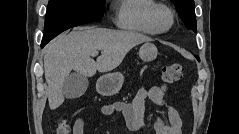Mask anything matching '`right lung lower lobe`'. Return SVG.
I'll list each match as a JSON object with an SVG mask.
<instances>
[{"mask_svg": "<svg viewBox=\"0 0 239 134\" xmlns=\"http://www.w3.org/2000/svg\"><path fill=\"white\" fill-rule=\"evenodd\" d=\"M52 38H43L41 47H43L46 43H48Z\"/></svg>", "mask_w": 239, "mask_h": 134, "instance_id": "right-lung-lower-lobe-1", "label": "right lung lower lobe"}]
</instances>
